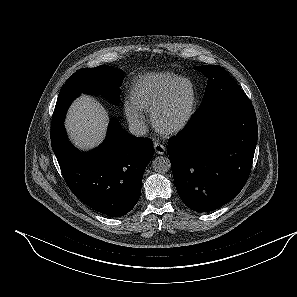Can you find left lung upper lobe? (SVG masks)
Masks as SVG:
<instances>
[{"label":"left lung upper lobe","instance_id":"obj_1","mask_svg":"<svg viewBox=\"0 0 297 297\" xmlns=\"http://www.w3.org/2000/svg\"><path fill=\"white\" fill-rule=\"evenodd\" d=\"M207 78V86L200 108L194 115H199L204 109L217 108L220 104L231 101H248L249 98L220 66L203 65L195 67Z\"/></svg>","mask_w":297,"mask_h":297}]
</instances>
